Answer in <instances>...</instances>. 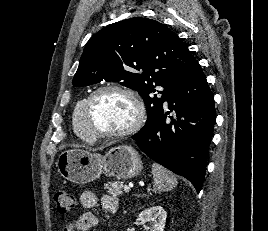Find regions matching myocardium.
I'll return each instance as SVG.
<instances>
[{"label": "myocardium", "mask_w": 268, "mask_h": 231, "mask_svg": "<svg viewBox=\"0 0 268 231\" xmlns=\"http://www.w3.org/2000/svg\"><path fill=\"white\" fill-rule=\"evenodd\" d=\"M103 92H115L125 95L131 100L135 107V118L133 121L125 128L118 131H95L90 123V109L93 100ZM146 119V111L143 101L139 95L130 88L122 87L119 85H105L94 90L86 98L83 105V120L87 132L90 134L91 139L106 138V139H120L127 137L138 130H140Z\"/></svg>", "instance_id": "f54148a6"}]
</instances>
